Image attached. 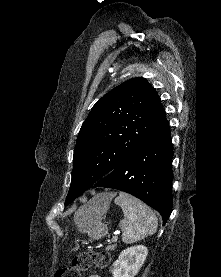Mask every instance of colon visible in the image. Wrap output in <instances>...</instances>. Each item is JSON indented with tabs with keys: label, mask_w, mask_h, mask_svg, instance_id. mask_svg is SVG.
<instances>
[{
	"label": "colon",
	"mask_w": 221,
	"mask_h": 277,
	"mask_svg": "<svg viewBox=\"0 0 221 277\" xmlns=\"http://www.w3.org/2000/svg\"><path fill=\"white\" fill-rule=\"evenodd\" d=\"M109 256L105 252H83L77 255L66 267L59 269L55 277H81L82 272L91 267L104 268L109 264Z\"/></svg>",
	"instance_id": "5ec220e1"
}]
</instances>
